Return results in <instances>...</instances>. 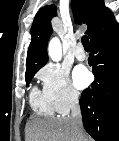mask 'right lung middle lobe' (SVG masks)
<instances>
[{
	"mask_svg": "<svg viewBox=\"0 0 119 141\" xmlns=\"http://www.w3.org/2000/svg\"><path fill=\"white\" fill-rule=\"evenodd\" d=\"M36 72L34 73H29V74H26L25 75V78H26V85H28L31 81V79L33 78V76L35 75Z\"/></svg>",
	"mask_w": 119,
	"mask_h": 141,
	"instance_id": "obj_1",
	"label": "right lung middle lobe"
}]
</instances>
